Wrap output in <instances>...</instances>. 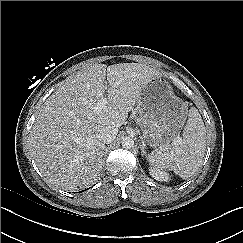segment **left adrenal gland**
Listing matches in <instances>:
<instances>
[{"mask_svg":"<svg viewBox=\"0 0 243 243\" xmlns=\"http://www.w3.org/2000/svg\"><path fill=\"white\" fill-rule=\"evenodd\" d=\"M140 150H141V155L146 157L147 154H146V150H145V145L144 144H140Z\"/></svg>","mask_w":243,"mask_h":243,"instance_id":"a2214340","label":"left adrenal gland"}]
</instances>
